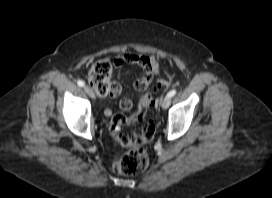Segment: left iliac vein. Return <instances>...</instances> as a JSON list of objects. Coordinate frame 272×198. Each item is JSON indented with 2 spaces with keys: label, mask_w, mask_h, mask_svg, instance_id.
Here are the masks:
<instances>
[{
  "label": "left iliac vein",
  "mask_w": 272,
  "mask_h": 198,
  "mask_svg": "<svg viewBox=\"0 0 272 198\" xmlns=\"http://www.w3.org/2000/svg\"><path fill=\"white\" fill-rule=\"evenodd\" d=\"M170 103H171V97L166 96L161 102V107L163 109H167L170 106Z\"/></svg>",
  "instance_id": "4c4485c4"
}]
</instances>
